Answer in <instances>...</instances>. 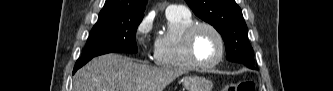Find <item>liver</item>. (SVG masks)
<instances>
[{
    "mask_svg": "<svg viewBox=\"0 0 333 91\" xmlns=\"http://www.w3.org/2000/svg\"><path fill=\"white\" fill-rule=\"evenodd\" d=\"M184 72L136 63L119 54L92 59L74 75V91H163Z\"/></svg>",
    "mask_w": 333,
    "mask_h": 91,
    "instance_id": "liver-1",
    "label": "liver"
}]
</instances>
